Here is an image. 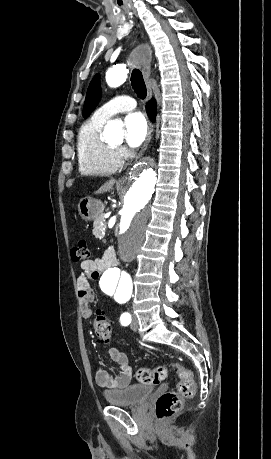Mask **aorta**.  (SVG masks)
<instances>
[{"label":"aorta","mask_w":271,"mask_h":459,"mask_svg":"<svg viewBox=\"0 0 271 459\" xmlns=\"http://www.w3.org/2000/svg\"><path fill=\"white\" fill-rule=\"evenodd\" d=\"M127 75L126 65L118 64L107 71L106 82L110 87H118L126 81ZM122 133V125L115 121H110L105 127L108 136L122 137ZM156 181L157 173L151 158L138 161L130 170L129 184L119 203V256L124 262L134 260L144 240L147 223L152 217L150 200ZM99 284L108 295L130 294L133 286L130 275L114 262L109 263Z\"/></svg>","instance_id":"762f6f07"}]
</instances>
